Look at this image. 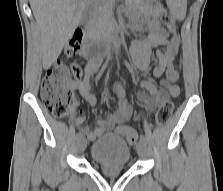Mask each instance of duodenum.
Here are the masks:
<instances>
[{"label":"duodenum","instance_id":"410a0bca","mask_svg":"<svg viewBox=\"0 0 223 191\" xmlns=\"http://www.w3.org/2000/svg\"><path fill=\"white\" fill-rule=\"evenodd\" d=\"M122 44L119 30L112 31L105 36L97 37L93 44L87 49L86 53L92 55L91 60L102 58L111 54Z\"/></svg>","mask_w":223,"mask_h":191}]
</instances>
